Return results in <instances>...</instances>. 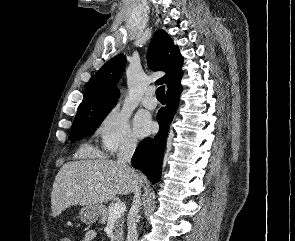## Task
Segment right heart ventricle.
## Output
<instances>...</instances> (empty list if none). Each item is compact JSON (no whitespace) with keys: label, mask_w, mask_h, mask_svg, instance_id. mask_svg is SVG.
I'll list each match as a JSON object with an SVG mask.
<instances>
[{"label":"right heart ventricle","mask_w":295,"mask_h":241,"mask_svg":"<svg viewBox=\"0 0 295 241\" xmlns=\"http://www.w3.org/2000/svg\"><path fill=\"white\" fill-rule=\"evenodd\" d=\"M77 154L79 156H95L98 155V152L90 146H83L78 150Z\"/></svg>","instance_id":"e07e8e85"}]
</instances>
